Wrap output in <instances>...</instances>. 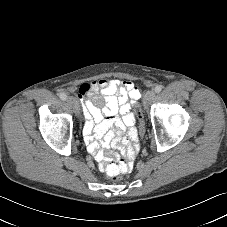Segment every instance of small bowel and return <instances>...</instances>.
Returning a JSON list of instances; mask_svg holds the SVG:
<instances>
[{"mask_svg":"<svg viewBox=\"0 0 227 227\" xmlns=\"http://www.w3.org/2000/svg\"><path fill=\"white\" fill-rule=\"evenodd\" d=\"M141 96V90L130 80L100 79L80 86L86 119L84 140L102 169L106 150L110 148L124 151L129 161L136 155L138 147L132 142L138 139V134L131 107Z\"/></svg>","mask_w":227,"mask_h":227,"instance_id":"1","label":"small bowel"}]
</instances>
